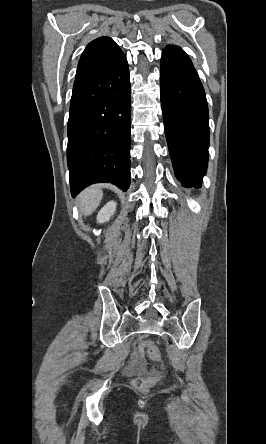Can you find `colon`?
Listing matches in <instances>:
<instances>
[{
	"label": "colon",
	"mask_w": 266,
	"mask_h": 444,
	"mask_svg": "<svg viewBox=\"0 0 266 444\" xmlns=\"http://www.w3.org/2000/svg\"><path fill=\"white\" fill-rule=\"evenodd\" d=\"M140 353L153 362H161V354L153 341L147 340L141 343ZM160 374L151 377H138L133 380V386L140 391H147L159 380Z\"/></svg>",
	"instance_id": "1"
}]
</instances>
